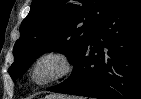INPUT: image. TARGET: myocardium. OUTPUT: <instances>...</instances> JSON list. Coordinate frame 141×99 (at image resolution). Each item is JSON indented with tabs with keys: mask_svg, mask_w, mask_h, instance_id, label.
Here are the masks:
<instances>
[{
	"mask_svg": "<svg viewBox=\"0 0 141 99\" xmlns=\"http://www.w3.org/2000/svg\"><path fill=\"white\" fill-rule=\"evenodd\" d=\"M47 59H54L61 64V70L54 76L44 81H37L35 79V71L38 66ZM74 70V60L69 52L62 49H51L39 54L32 62L29 71V80L38 87H45L56 82H59L72 74Z\"/></svg>",
	"mask_w": 141,
	"mask_h": 99,
	"instance_id": "myocardium-1",
	"label": "myocardium"
}]
</instances>
